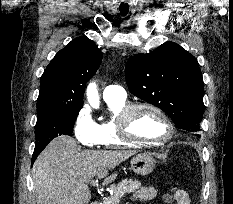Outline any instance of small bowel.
<instances>
[{
  "instance_id": "small-bowel-1",
  "label": "small bowel",
  "mask_w": 233,
  "mask_h": 204,
  "mask_svg": "<svg viewBox=\"0 0 233 204\" xmlns=\"http://www.w3.org/2000/svg\"><path fill=\"white\" fill-rule=\"evenodd\" d=\"M156 196H157V190L151 186L142 187L135 194L136 199H138L141 202L152 201L153 199L156 198ZM166 201L167 202H175V204H190V197L186 191L181 190L175 199H173V200L166 199Z\"/></svg>"
}]
</instances>
